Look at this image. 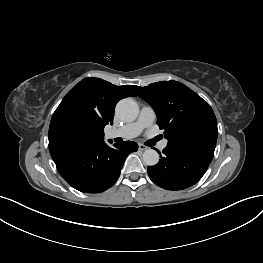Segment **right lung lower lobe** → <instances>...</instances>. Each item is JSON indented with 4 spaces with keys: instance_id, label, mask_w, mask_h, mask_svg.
<instances>
[{
    "instance_id": "obj_1",
    "label": "right lung lower lobe",
    "mask_w": 263,
    "mask_h": 263,
    "mask_svg": "<svg viewBox=\"0 0 263 263\" xmlns=\"http://www.w3.org/2000/svg\"><path fill=\"white\" fill-rule=\"evenodd\" d=\"M109 147L104 141L53 156L60 175L75 189L100 193L118 179L126 157L138 150L132 141Z\"/></svg>"
}]
</instances>
